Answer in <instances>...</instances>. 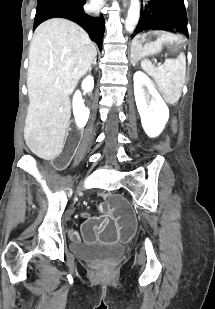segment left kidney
Returning a JSON list of instances; mask_svg holds the SVG:
<instances>
[{
  "instance_id": "left-kidney-1",
  "label": "left kidney",
  "mask_w": 215,
  "mask_h": 309,
  "mask_svg": "<svg viewBox=\"0 0 215 309\" xmlns=\"http://www.w3.org/2000/svg\"><path fill=\"white\" fill-rule=\"evenodd\" d=\"M133 78L135 100L141 116V124L146 134L153 138L162 132L169 118V108L144 72L137 70ZM143 86H147L148 92L154 96V100L147 98Z\"/></svg>"
}]
</instances>
